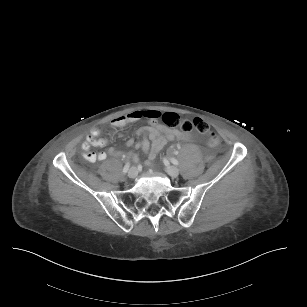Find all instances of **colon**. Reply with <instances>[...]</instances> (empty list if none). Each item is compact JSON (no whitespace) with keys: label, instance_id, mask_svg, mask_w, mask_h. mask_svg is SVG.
I'll return each instance as SVG.
<instances>
[{"label":"colon","instance_id":"obj_1","mask_svg":"<svg viewBox=\"0 0 307 307\" xmlns=\"http://www.w3.org/2000/svg\"><path fill=\"white\" fill-rule=\"evenodd\" d=\"M162 121L165 125L172 128H180L183 132L195 130L204 135L210 146H217L219 144L218 134L211 130L208 124L202 118H194L188 120H181L178 115L174 113H165L162 115Z\"/></svg>","mask_w":307,"mask_h":307}]
</instances>
